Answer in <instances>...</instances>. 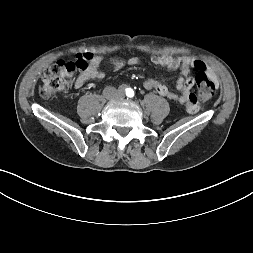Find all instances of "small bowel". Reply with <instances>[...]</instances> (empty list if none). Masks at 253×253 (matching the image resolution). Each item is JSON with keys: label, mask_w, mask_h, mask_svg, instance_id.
Returning <instances> with one entry per match:
<instances>
[{"label": "small bowel", "mask_w": 253, "mask_h": 253, "mask_svg": "<svg viewBox=\"0 0 253 253\" xmlns=\"http://www.w3.org/2000/svg\"><path fill=\"white\" fill-rule=\"evenodd\" d=\"M91 55L92 58L87 70L81 73L75 80L74 87L76 89L82 88L90 79L101 80L105 77V73L101 70L103 56L100 54ZM151 62L154 65L162 66L169 70H180L181 76L177 79L175 85L179 94L172 92L164 83L154 78H149L144 81L143 85L145 89L153 90L167 99L178 101L182 104L186 103L185 110L190 115L200 112L203 109V102L198 98V95L195 92H190L194 85V81L189 77L190 70L194 64L192 59L184 56L172 57L169 55H156L151 58ZM139 63L140 59L137 56H133L126 62L114 60L112 67L114 70H120L125 64L136 66Z\"/></svg>", "instance_id": "1"}]
</instances>
